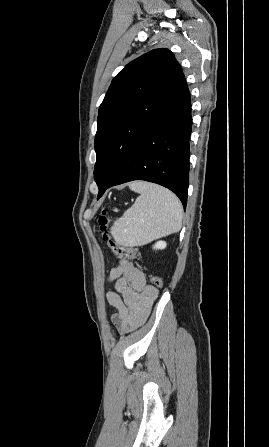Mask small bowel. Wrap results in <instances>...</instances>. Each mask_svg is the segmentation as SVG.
I'll return each mask as SVG.
<instances>
[{"instance_id":"1","label":"small bowel","mask_w":269,"mask_h":447,"mask_svg":"<svg viewBox=\"0 0 269 447\" xmlns=\"http://www.w3.org/2000/svg\"><path fill=\"white\" fill-rule=\"evenodd\" d=\"M109 281L114 282L116 290L106 293L108 302L117 310L113 323L120 330L143 325L158 298L157 288L148 284L144 273L128 260L112 267Z\"/></svg>"}]
</instances>
